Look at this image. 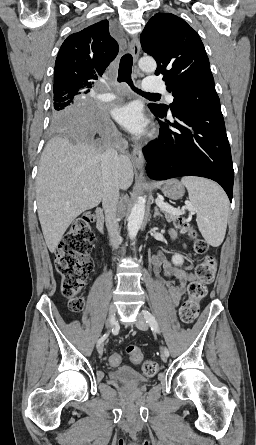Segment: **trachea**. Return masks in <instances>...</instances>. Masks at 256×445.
Returning <instances> with one entry per match:
<instances>
[{
    "mask_svg": "<svg viewBox=\"0 0 256 445\" xmlns=\"http://www.w3.org/2000/svg\"><path fill=\"white\" fill-rule=\"evenodd\" d=\"M133 59L130 54H125L119 64L118 82H126L135 92L145 97H160L159 94L146 93L135 88L131 79Z\"/></svg>",
    "mask_w": 256,
    "mask_h": 445,
    "instance_id": "trachea-1",
    "label": "trachea"
}]
</instances>
